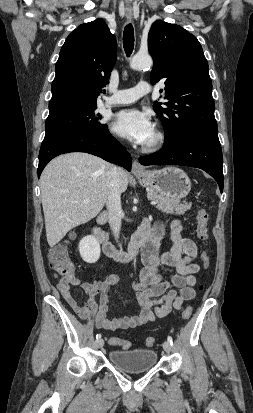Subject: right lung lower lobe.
<instances>
[{"label": "right lung lower lobe", "instance_id": "right-lung-lower-lobe-1", "mask_svg": "<svg viewBox=\"0 0 253 413\" xmlns=\"http://www.w3.org/2000/svg\"><path fill=\"white\" fill-rule=\"evenodd\" d=\"M69 152H86L131 170V156L107 127L96 133L63 134L44 139L39 153L38 177L54 157Z\"/></svg>", "mask_w": 253, "mask_h": 413}]
</instances>
